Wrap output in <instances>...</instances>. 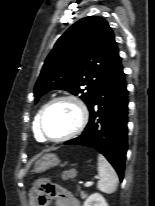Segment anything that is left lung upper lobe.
<instances>
[{"instance_id": "obj_1", "label": "left lung upper lobe", "mask_w": 155, "mask_h": 206, "mask_svg": "<svg viewBox=\"0 0 155 206\" xmlns=\"http://www.w3.org/2000/svg\"><path fill=\"white\" fill-rule=\"evenodd\" d=\"M108 23L98 16L82 18L56 42L34 88L36 101L53 89L66 90L90 105L105 79L120 63Z\"/></svg>"}]
</instances>
